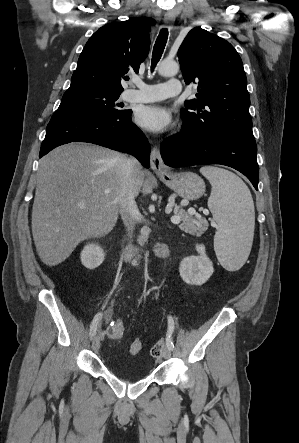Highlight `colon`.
<instances>
[{
	"label": "colon",
	"mask_w": 299,
	"mask_h": 443,
	"mask_svg": "<svg viewBox=\"0 0 299 443\" xmlns=\"http://www.w3.org/2000/svg\"><path fill=\"white\" fill-rule=\"evenodd\" d=\"M125 323L122 319H115L111 322V325L107 329V335L113 340H120L125 335ZM165 348V340L160 339L157 341L151 349V356L155 359H159ZM142 349V341L140 338H135L131 341L128 347V351L131 355L138 354Z\"/></svg>",
	"instance_id": "1"
}]
</instances>
